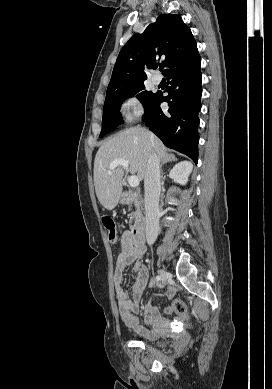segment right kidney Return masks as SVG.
I'll return each mask as SVG.
<instances>
[{
  "label": "right kidney",
  "mask_w": 272,
  "mask_h": 389,
  "mask_svg": "<svg viewBox=\"0 0 272 389\" xmlns=\"http://www.w3.org/2000/svg\"><path fill=\"white\" fill-rule=\"evenodd\" d=\"M193 170V165L188 161H182L176 164L169 173V177L181 185H186L189 175Z\"/></svg>",
  "instance_id": "ca27d5eb"
}]
</instances>
